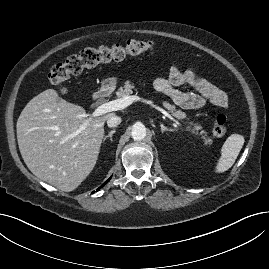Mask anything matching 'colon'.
<instances>
[{
  "instance_id": "colon-1",
  "label": "colon",
  "mask_w": 269,
  "mask_h": 269,
  "mask_svg": "<svg viewBox=\"0 0 269 269\" xmlns=\"http://www.w3.org/2000/svg\"><path fill=\"white\" fill-rule=\"evenodd\" d=\"M154 44L151 41L130 40L124 45L105 46L95 49H85L79 54L68 57L64 62L53 66L48 74L49 82L59 89L67 91L64 82L72 75L86 68L95 67L102 63L121 61L129 56L152 52ZM212 131L216 137H223L228 131L227 117L216 113L213 117Z\"/></svg>"
}]
</instances>
